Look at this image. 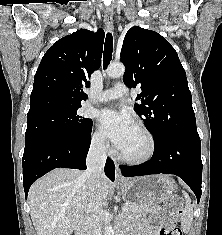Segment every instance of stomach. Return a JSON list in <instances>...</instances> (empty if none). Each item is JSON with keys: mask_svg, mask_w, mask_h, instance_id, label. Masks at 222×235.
<instances>
[{"mask_svg": "<svg viewBox=\"0 0 222 235\" xmlns=\"http://www.w3.org/2000/svg\"><path fill=\"white\" fill-rule=\"evenodd\" d=\"M176 184L165 176H145L120 184L125 202L138 209L151 208L166 200Z\"/></svg>", "mask_w": 222, "mask_h": 235, "instance_id": "obj_1", "label": "stomach"}]
</instances>
